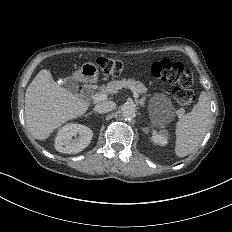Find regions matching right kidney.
I'll list each match as a JSON object with an SVG mask.
<instances>
[{
	"label": "right kidney",
	"instance_id": "1",
	"mask_svg": "<svg viewBox=\"0 0 232 232\" xmlns=\"http://www.w3.org/2000/svg\"><path fill=\"white\" fill-rule=\"evenodd\" d=\"M93 137V132L81 124H66L61 127L55 138V149L61 153L76 154L86 148Z\"/></svg>",
	"mask_w": 232,
	"mask_h": 232
}]
</instances>
